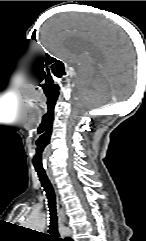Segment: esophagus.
<instances>
[{
  "label": "esophagus",
  "instance_id": "obj_1",
  "mask_svg": "<svg viewBox=\"0 0 146 241\" xmlns=\"http://www.w3.org/2000/svg\"><path fill=\"white\" fill-rule=\"evenodd\" d=\"M47 176L54 188L56 198H57V207H58V222L60 225H63L65 223V211H64V204L62 202L61 196L59 194V190L57 187V183L55 181V178L51 172H47Z\"/></svg>",
  "mask_w": 146,
  "mask_h": 241
}]
</instances>
